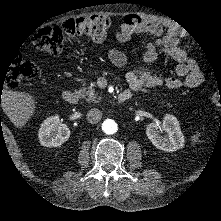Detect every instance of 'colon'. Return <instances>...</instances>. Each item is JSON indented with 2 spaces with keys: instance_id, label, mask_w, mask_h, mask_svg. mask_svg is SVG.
<instances>
[{
  "instance_id": "5ec220e1",
  "label": "colon",
  "mask_w": 221,
  "mask_h": 221,
  "mask_svg": "<svg viewBox=\"0 0 221 221\" xmlns=\"http://www.w3.org/2000/svg\"><path fill=\"white\" fill-rule=\"evenodd\" d=\"M116 21L117 19L108 15L68 19L56 26L40 29L36 34L33 45L37 50L57 55L61 52L67 39L83 36L96 43L104 40ZM119 21L122 25L132 28L142 25V19L138 15H127ZM36 75L37 68L34 63L19 59L10 67L6 86L16 88L23 81L32 79Z\"/></svg>"
}]
</instances>
